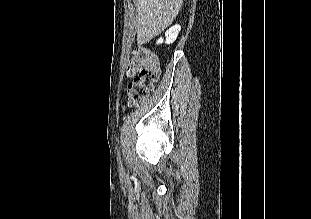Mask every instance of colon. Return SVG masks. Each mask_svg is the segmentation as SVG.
I'll return each instance as SVG.
<instances>
[{
  "instance_id": "obj_1",
  "label": "colon",
  "mask_w": 311,
  "mask_h": 219,
  "mask_svg": "<svg viewBox=\"0 0 311 219\" xmlns=\"http://www.w3.org/2000/svg\"><path fill=\"white\" fill-rule=\"evenodd\" d=\"M127 75L133 78L127 89L129 103L139 105L149 97L159 79L156 54L146 47L136 49L129 59Z\"/></svg>"
}]
</instances>
